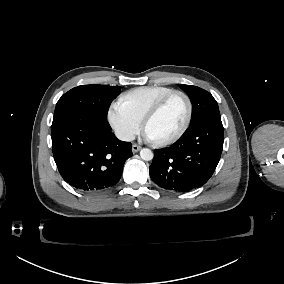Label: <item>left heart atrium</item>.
<instances>
[{
	"label": "left heart atrium",
	"instance_id": "39dd6f15",
	"mask_svg": "<svg viewBox=\"0 0 284 284\" xmlns=\"http://www.w3.org/2000/svg\"><path fill=\"white\" fill-rule=\"evenodd\" d=\"M144 136H145L147 139L152 140V139L150 138V136H149L146 132H144Z\"/></svg>",
	"mask_w": 284,
	"mask_h": 284
}]
</instances>
